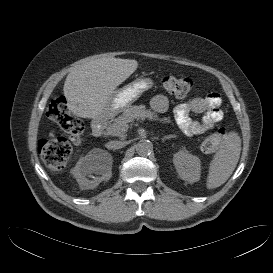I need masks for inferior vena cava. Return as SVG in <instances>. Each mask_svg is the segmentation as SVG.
Returning <instances> with one entry per match:
<instances>
[{"label": "inferior vena cava", "mask_w": 273, "mask_h": 273, "mask_svg": "<svg viewBox=\"0 0 273 273\" xmlns=\"http://www.w3.org/2000/svg\"><path fill=\"white\" fill-rule=\"evenodd\" d=\"M125 146V142L123 141H111L108 143V147L110 149H120Z\"/></svg>", "instance_id": "obj_1"}]
</instances>
